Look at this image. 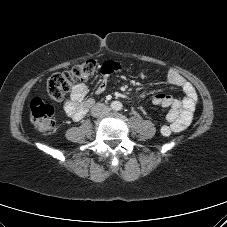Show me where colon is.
I'll return each mask as SVG.
<instances>
[{
	"label": "colon",
	"mask_w": 227,
	"mask_h": 227,
	"mask_svg": "<svg viewBox=\"0 0 227 227\" xmlns=\"http://www.w3.org/2000/svg\"><path fill=\"white\" fill-rule=\"evenodd\" d=\"M98 69L94 60H86L72 69L56 73L47 81V94L53 101H61L77 82L89 81ZM30 120L35 128L43 133L55 128L54 108L41 98H34L30 105Z\"/></svg>",
	"instance_id": "obj_1"
}]
</instances>
